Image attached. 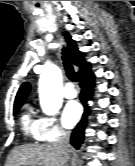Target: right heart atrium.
I'll return each instance as SVG.
<instances>
[{"label": "right heart atrium", "mask_w": 135, "mask_h": 166, "mask_svg": "<svg viewBox=\"0 0 135 166\" xmlns=\"http://www.w3.org/2000/svg\"><path fill=\"white\" fill-rule=\"evenodd\" d=\"M65 136V131L53 116L40 118V139L42 141H55Z\"/></svg>", "instance_id": "right-heart-atrium-1"}]
</instances>
